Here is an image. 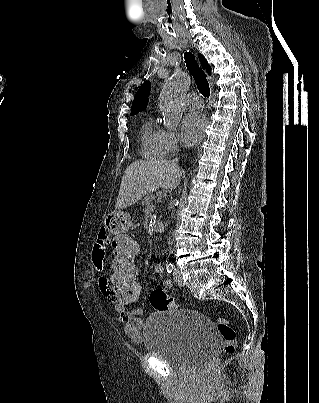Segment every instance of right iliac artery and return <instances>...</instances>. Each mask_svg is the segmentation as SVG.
<instances>
[{
    "label": "right iliac artery",
    "mask_w": 319,
    "mask_h": 403,
    "mask_svg": "<svg viewBox=\"0 0 319 403\" xmlns=\"http://www.w3.org/2000/svg\"><path fill=\"white\" fill-rule=\"evenodd\" d=\"M166 270L168 273H171L173 271V264L172 263H167L166 264Z\"/></svg>",
    "instance_id": "82829eb1"
}]
</instances>
